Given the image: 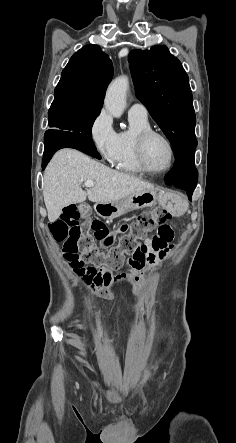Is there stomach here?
Masks as SVG:
<instances>
[{"label": "stomach", "mask_w": 236, "mask_h": 443, "mask_svg": "<svg viewBox=\"0 0 236 443\" xmlns=\"http://www.w3.org/2000/svg\"><path fill=\"white\" fill-rule=\"evenodd\" d=\"M157 202L176 216L182 215L187 209L186 200L179 194L167 191L157 193L154 189L136 192L112 203H97L94 208L99 216L113 219L133 210L152 207Z\"/></svg>", "instance_id": "obj_1"}]
</instances>
